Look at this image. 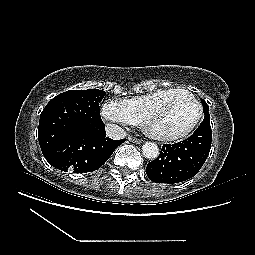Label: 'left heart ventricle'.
<instances>
[{
  "instance_id": "left-heart-ventricle-1",
  "label": "left heart ventricle",
  "mask_w": 255,
  "mask_h": 255,
  "mask_svg": "<svg viewBox=\"0 0 255 255\" xmlns=\"http://www.w3.org/2000/svg\"><path fill=\"white\" fill-rule=\"evenodd\" d=\"M197 106L183 97H177L156 113L149 129L158 133H178L188 128L197 116Z\"/></svg>"
}]
</instances>
